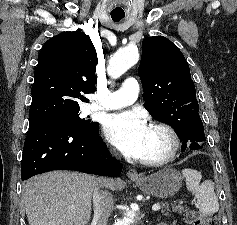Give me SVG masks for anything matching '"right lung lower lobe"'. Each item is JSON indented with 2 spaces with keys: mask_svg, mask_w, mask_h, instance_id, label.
Instances as JSON below:
<instances>
[{
  "mask_svg": "<svg viewBox=\"0 0 237 225\" xmlns=\"http://www.w3.org/2000/svg\"><path fill=\"white\" fill-rule=\"evenodd\" d=\"M52 170H75L83 173L117 177L122 171L99 136V126L89 132L31 123L23 148L21 178Z\"/></svg>",
  "mask_w": 237,
  "mask_h": 225,
  "instance_id": "right-lung-lower-lobe-1",
  "label": "right lung lower lobe"
}]
</instances>
